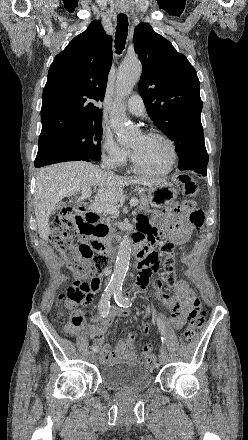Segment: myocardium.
Listing matches in <instances>:
<instances>
[{
    "instance_id": "1",
    "label": "myocardium",
    "mask_w": 248,
    "mask_h": 440,
    "mask_svg": "<svg viewBox=\"0 0 248 440\" xmlns=\"http://www.w3.org/2000/svg\"><path fill=\"white\" fill-rule=\"evenodd\" d=\"M146 137H154V138H160L162 140H164L169 148H170V152H171V157H170V161L168 163V166L160 171H149V170H145L143 168H141L135 161L133 153L131 154V165L132 168L135 172H137L138 174L144 175V176H148V177H162L165 176L167 174H169L177 161L178 158V152H177V148L176 145L174 143V141L166 134L160 132V131H148L146 133L143 134Z\"/></svg>"
}]
</instances>
